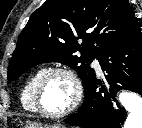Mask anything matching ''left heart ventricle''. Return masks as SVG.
<instances>
[{"instance_id": "1", "label": "left heart ventricle", "mask_w": 142, "mask_h": 128, "mask_svg": "<svg viewBox=\"0 0 142 128\" xmlns=\"http://www.w3.org/2000/svg\"><path fill=\"white\" fill-rule=\"evenodd\" d=\"M73 98V86L64 74L50 75L43 83L40 100L42 108L50 113L65 110Z\"/></svg>"}]
</instances>
